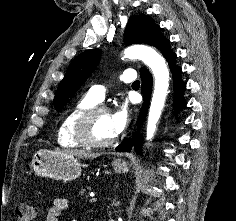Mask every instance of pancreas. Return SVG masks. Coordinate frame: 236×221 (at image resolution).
<instances>
[{
    "mask_svg": "<svg viewBox=\"0 0 236 221\" xmlns=\"http://www.w3.org/2000/svg\"><path fill=\"white\" fill-rule=\"evenodd\" d=\"M85 188H82L81 190H80V194H83L84 192H85Z\"/></svg>",
    "mask_w": 236,
    "mask_h": 221,
    "instance_id": "1",
    "label": "pancreas"
}]
</instances>
